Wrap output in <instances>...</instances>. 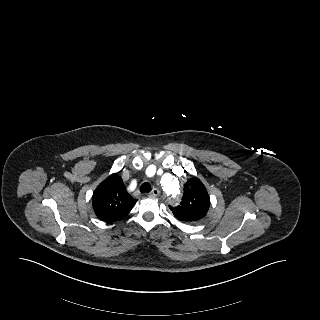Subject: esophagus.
Listing matches in <instances>:
<instances>
[{
    "mask_svg": "<svg viewBox=\"0 0 320 320\" xmlns=\"http://www.w3.org/2000/svg\"><path fill=\"white\" fill-rule=\"evenodd\" d=\"M159 195H160V190L158 188H153L149 193V196H153V197H157Z\"/></svg>",
    "mask_w": 320,
    "mask_h": 320,
    "instance_id": "obj_1",
    "label": "esophagus"
}]
</instances>
